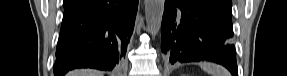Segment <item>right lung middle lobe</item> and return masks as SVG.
Returning a JSON list of instances; mask_svg holds the SVG:
<instances>
[{"instance_id": "right-lung-middle-lobe-1", "label": "right lung middle lobe", "mask_w": 287, "mask_h": 76, "mask_svg": "<svg viewBox=\"0 0 287 76\" xmlns=\"http://www.w3.org/2000/svg\"><path fill=\"white\" fill-rule=\"evenodd\" d=\"M76 2V0H64V8L67 9L73 6Z\"/></svg>"}]
</instances>
